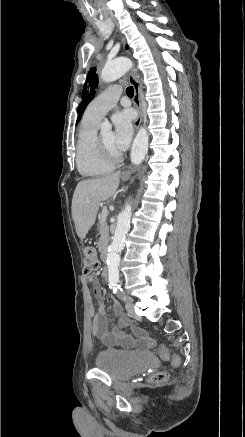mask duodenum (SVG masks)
<instances>
[{
  "mask_svg": "<svg viewBox=\"0 0 245 437\" xmlns=\"http://www.w3.org/2000/svg\"><path fill=\"white\" fill-rule=\"evenodd\" d=\"M101 259H102L104 262H106V261L108 260V251H107V249H106L105 247H103V248L101 249ZM102 275H103V277H105V278L107 277V275H108V271H107L106 268L103 269Z\"/></svg>",
  "mask_w": 245,
  "mask_h": 437,
  "instance_id": "obj_1",
  "label": "duodenum"
}]
</instances>
